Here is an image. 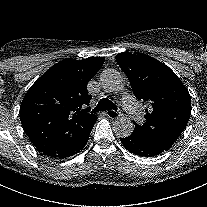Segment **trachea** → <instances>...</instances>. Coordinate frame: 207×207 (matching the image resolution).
Segmentation results:
<instances>
[{
    "mask_svg": "<svg viewBox=\"0 0 207 207\" xmlns=\"http://www.w3.org/2000/svg\"><path fill=\"white\" fill-rule=\"evenodd\" d=\"M117 110L116 105L108 100L107 98H103L99 101L98 105L92 110V113H96L98 111H106V110Z\"/></svg>",
    "mask_w": 207,
    "mask_h": 207,
    "instance_id": "trachea-1",
    "label": "trachea"
}]
</instances>
